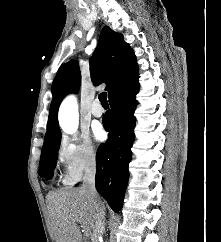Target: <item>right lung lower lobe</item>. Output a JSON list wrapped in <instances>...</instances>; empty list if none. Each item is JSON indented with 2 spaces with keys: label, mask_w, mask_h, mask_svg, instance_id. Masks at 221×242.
I'll return each mask as SVG.
<instances>
[{
  "label": "right lung lower lobe",
  "mask_w": 221,
  "mask_h": 242,
  "mask_svg": "<svg viewBox=\"0 0 221 242\" xmlns=\"http://www.w3.org/2000/svg\"><path fill=\"white\" fill-rule=\"evenodd\" d=\"M138 89L136 73L123 80L109 97L111 109L103 118L108 140L99 146L96 154V189L115 212L123 206L129 178Z\"/></svg>",
  "instance_id": "obj_1"
}]
</instances>
